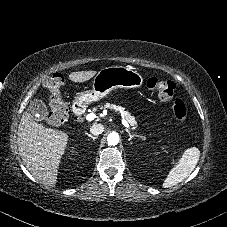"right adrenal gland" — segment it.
I'll return each instance as SVG.
<instances>
[{
    "label": "right adrenal gland",
    "mask_w": 227,
    "mask_h": 227,
    "mask_svg": "<svg viewBox=\"0 0 227 227\" xmlns=\"http://www.w3.org/2000/svg\"><path fill=\"white\" fill-rule=\"evenodd\" d=\"M89 138H91V139H93V140H95V139H97V137L96 136H93V135H91V134H89V133H85Z\"/></svg>",
    "instance_id": "right-adrenal-gland-1"
}]
</instances>
